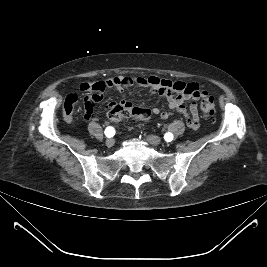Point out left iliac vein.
<instances>
[{
    "instance_id": "obj_1",
    "label": "left iliac vein",
    "mask_w": 267,
    "mask_h": 267,
    "mask_svg": "<svg viewBox=\"0 0 267 267\" xmlns=\"http://www.w3.org/2000/svg\"><path fill=\"white\" fill-rule=\"evenodd\" d=\"M147 141L154 146H158L161 144V139L155 135H148Z\"/></svg>"
}]
</instances>
